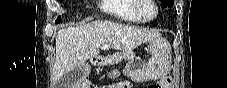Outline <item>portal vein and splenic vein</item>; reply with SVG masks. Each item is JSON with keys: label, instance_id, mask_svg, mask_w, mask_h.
I'll use <instances>...</instances> for the list:
<instances>
[{"label": "portal vein and splenic vein", "instance_id": "portal-vein-and-splenic-vein-1", "mask_svg": "<svg viewBox=\"0 0 227 88\" xmlns=\"http://www.w3.org/2000/svg\"><path fill=\"white\" fill-rule=\"evenodd\" d=\"M107 47H108V45H106V44L103 45V48H107Z\"/></svg>", "mask_w": 227, "mask_h": 88}]
</instances>
